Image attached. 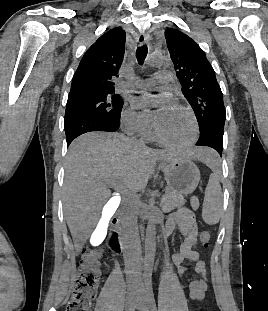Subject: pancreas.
<instances>
[{
	"label": "pancreas",
	"mask_w": 268,
	"mask_h": 311,
	"mask_svg": "<svg viewBox=\"0 0 268 311\" xmlns=\"http://www.w3.org/2000/svg\"><path fill=\"white\" fill-rule=\"evenodd\" d=\"M186 203V200L182 195L172 192L169 189H166L165 194L162 197L161 208L164 213L171 212L176 208H180Z\"/></svg>",
	"instance_id": "pancreas-1"
}]
</instances>
